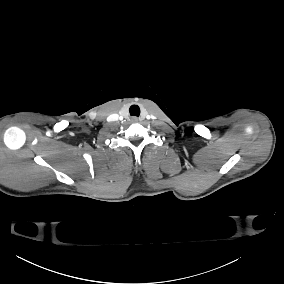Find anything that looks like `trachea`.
<instances>
[{
	"label": "trachea",
	"mask_w": 284,
	"mask_h": 284,
	"mask_svg": "<svg viewBox=\"0 0 284 284\" xmlns=\"http://www.w3.org/2000/svg\"><path fill=\"white\" fill-rule=\"evenodd\" d=\"M129 113L131 116H136L138 117L140 115V108L139 106L137 105H132L130 108H129Z\"/></svg>",
	"instance_id": "trachea-1"
}]
</instances>
